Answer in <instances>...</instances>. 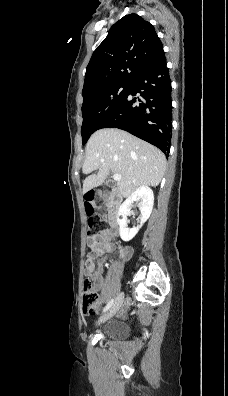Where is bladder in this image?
<instances>
[{
	"label": "bladder",
	"instance_id": "bladder-1",
	"mask_svg": "<svg viewBox=\"0 0 228 396\" xmlns=\"http://www.w3.org/2000/svg\"><path fill=\"white\" fill-rule=\"evenodd\" d=\"M128 334L124 324L111 323L101 330V335L107 339L120 340L124 339Z\"/></svg>",
	"mask_w": 228,
	"mask_h": 396
}]
</instances>
